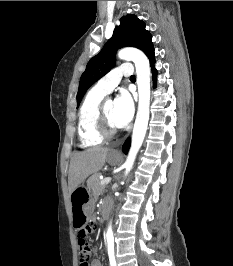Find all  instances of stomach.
Wrapping results in <instances>:
<instances>
[{
	"label": "stomach",
	"instance_id": "0dacf381",
	"mask_svg": "<svg viewBox=\"0 0 233 266\" xmlns=\"http://www.w3.org/2000/svg\"><path fill=\"white\" fill-rule=\"evenodd\" d=\"M121 160V155L110 153L107 157L108 163L116 165ZM92 198L90 188H75L71 194V209L73 228L75 232H86V225H89L90 216L87 209H89V199Z\"/></svg>",
	"mask_w": 233,
	"mask_h": 266
}]
</instances>
